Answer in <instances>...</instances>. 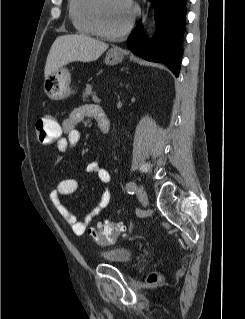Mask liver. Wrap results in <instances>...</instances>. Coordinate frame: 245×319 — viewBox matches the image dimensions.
Masks as SVG:
<instances>
[{"mask_svg":"<svg viewBox=\"0 0 245 319\" xmlns=\"http://www.w3.org/2000/svg\"><path fill=\"white\" fill-rule=\"evenodd\" d=\"M108 45L83 34H68L56 38L49 51L44 76L74 61L91 62L97 60Z\"/></svg>","mask_w":245,"mask_h":319,"instance_id":"1","label":"liver"}]
</instances>
